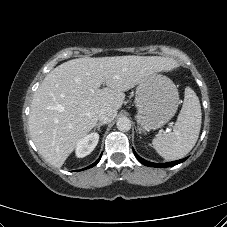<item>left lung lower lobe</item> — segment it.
<instances>
[{
    "label": "left lung lower lobe",
    "mask_w": 227,
    "mask_h": 227,
    "mask_svg": "<svg viewBox=\"0 0 227 227\" xmlns=\"http://www.w3.org/2000/svg\"><path fill=\"white\" fill-rule=\"evenodd\" d=\"M134 155L136 156V158L139 160V162H141L142 164L146 165V166H150V167H157V168H161V167H172L175 166L179 163H182L183 161H185L187 158L181 159V160H177V161H172V162H168V163H153V162H149L147 160L142 159L133 149Z\"/></svg>",
    "instance_id": "1"
}]
</instances>
